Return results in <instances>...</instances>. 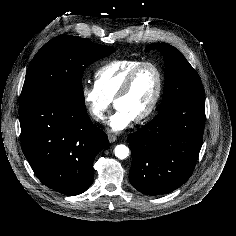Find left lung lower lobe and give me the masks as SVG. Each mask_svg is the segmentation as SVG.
Listing matches in <instances>:
<instances>
[{
	"mask_svg": "<svg viewBox=\"0 0 236 236\" xmlns=\"http://www.w3.org/2000/svg\"><path fill=\"white\" fill-rule=\"evenodd\" d=\"M204 100L175 103L128 137L134 188L146 195L167 194L191 176L202 146Z\"/></svg>",
	"mask_w": 236,
	"mask_h": 236,
	"instance_id": "0a47b994",
	"label": "left lung lower lobe"
}]
</instances>
